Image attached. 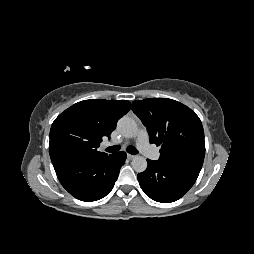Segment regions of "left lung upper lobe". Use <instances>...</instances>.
Returning <instances> with one entry per match:
<instances>
[{"label":"left lung upper lobe","mask_w":254,"mask_h":254,"mask_svg":"<svg viewBox=\"0 0 254 254\" xmlns=\"http://www.w3.org/2000/svg\"><path fill=\"white\" fill-rule=\"evenodd\" d=\"M132 110L147 128L150 143L161 146L159 163L201 170L204 130L194 111L168 98L133 101Z\"/></svg>","instance_id":"5c2ea615"}]
</instances>
